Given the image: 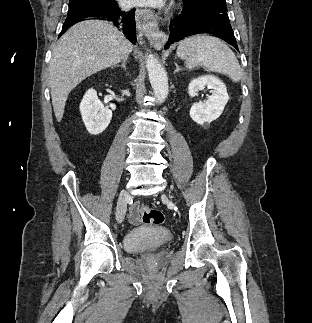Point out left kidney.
<instances>
[{
    "instance_id": "obj_1",
    "label": "left kidney",
    "mask_w": 312,
    "mask_h": 323,
    "mask_svg": "<svg viewBox=\"0 0 312 323\" xmlns=\"http://www.w3.org/2000/svg\"><path fill=\"white\" fill-rule=\"evenodd\" d=\"M204 88L211 90L212 96H208V100L203 104L202 102L193 104L190 110V118L200 126H203L205 122L210 124L213 120H217L229 100L225 84L214 76H200V78L192 80L188 86V94L193 98V96H197V92L204 90Z\"/></svg>"
}]
</instances>
